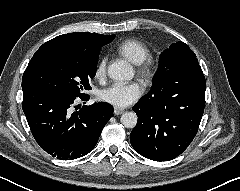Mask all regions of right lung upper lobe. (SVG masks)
<instances>
[{
	"mask_svg": "<svg viewBox=\"0 0 240 191\" xmlns=\"http://www.w3.org/2000/svg\"><path fill=\"white\" fill-rule=\"evenodd\" d=\"M115 35L79 32L55 37L41 45L39 50L59 49L71 53L99 54L100 47L110 43Z\"/></svg>",
	"mask_w": 240,
	"mask_h": 191,
	"instance_id": "obj_1",
	"label": "right lung upper lobe"
}]
</instances>
